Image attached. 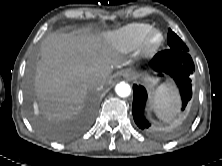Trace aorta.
I'll list each match as a JSON object with an SVG mask.
<instances>
[{"mask_svg": "<svg viewBox=\"0 0 222 166\" xmlns=\"http://www.w3.org/2000/svg\"><path fill=\"white\" fill-rule=\"evenodd\" d=\"M115 91H116L118 96L127 97L131 93V88H130L129 84H127L125 82H121V83L116 85Z\"/></svg>", "mask_w": 222, "mask_h": 166, "instance_id": "762f6f07", "label": "aorta"}]
</instances>
